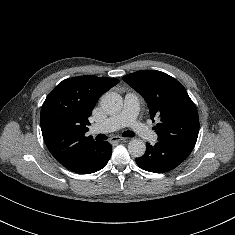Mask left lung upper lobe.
<instances>
[{
	"label": "left lung upper lobe",
	"mask_w": 235,
	"mask_h": 235,
	"mask_svg": "<svg viewBox=\"0 0 235 235\" xmlns=\"http://www.w3.org/2000/svg\"><path fill=\"white\" fill-rule=\"evenodd\" d=\"M123 80L143 96L152 121L159 117L160 122L153 128L159 141L194 148L199 132L198 111L176 79L164 72L141 70Z\"/></svg>",
	"instance_id": "left-lung-upper-lobe-1"
}]
</instances>
